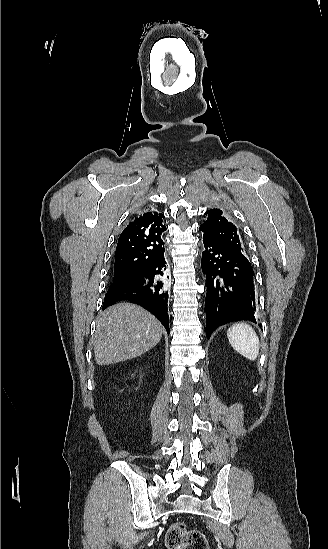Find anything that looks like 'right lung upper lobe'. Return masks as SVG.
Wrapping results in <instances>:
<instances>
[{
  "label": "right lung upper lobe",
  "instance_id": "obj_1",
  "mask_svg": "<svg viewBox=\"0 0 328 549\" xmlns=\"http://www.w3.org/2000/svg\"><path fill=\"white\" fill-rule=\"evenodd\" d=\"M164 215L145 210L132 218L121 233L114 263V277L140 273L164 252Z\"/></svg>",
  "mask_w": 328,
  "mask_h": 549
}]
</instances>
